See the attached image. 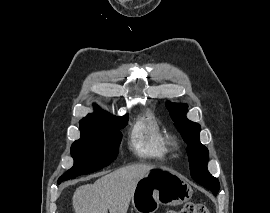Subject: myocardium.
<instances>
[{"label": "myocardium", "mask_w": 270, "mask_h": 213, "mask_svg": "<svg viewBox=\"0 0 270 213\" xmlns=\"http://www.w3.org/2000/svg\"><path fill=\"white\" fill-rule=\"evenodd\" d=\"M169 142L172 150H177L179 148V143L176 138L170 137Z\"/></svg>", "instance_id": "obj_1"}]
</instances>
